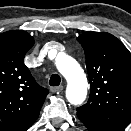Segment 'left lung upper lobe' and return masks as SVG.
I'll return each mask as SVG.
<instances>
[{
  "instance_id": "5c2ea615",
  "label": "left lung upper lobe",
  "mask_w": 131,
  "mask_h": 131,
  "mask_svg": "<svg viewBox=\"0 0 131 131\" xmlns=\"http://www.w3.org/2000/svg\"><path fill=\"white\" fill-rule=\"evenodd\" d=\"M82 45L90 79L88 102L77 116L89 131H121L131 122V53L115 36L88 31Z\"/></svg>"
}]
</instances>
